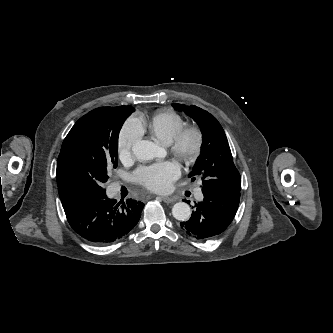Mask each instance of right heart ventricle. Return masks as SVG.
Returning <instances> with one entry per match:
<instances>
[{"label": "right heart ventricle", "mask_w": 333, "mask_h": 333, "mask_svg": "<svg viewBox=\"0 0 333 333\" xmlns=\"http://www.w3.org/2000/svg\"><path fill=\"white\" fill-rule=\"evenodd\" d=\"M184 125L183 118L169 110L154 113L146 122L141 125L153 137L164 144H170L175 133Z\"/></svg>", "instance_id": "1"}]
</instances>
